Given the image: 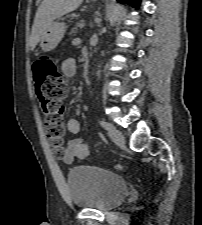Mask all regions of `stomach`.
<instances>
[{
    "mask_svg": "<svg viewBox=\"0 0 202 225\" xmlns=\"http://www.w3.org/2000/svg\"><path fill=\"white\" fill-rule=\"evenodd\" d=\"M66 31L63 22H53L42 34L40 47L44 52H49L57 47Z\"/></svg>",
    "mask_w": 202,
    "mask_h": 225,
    "instance_id": "1",
    "label": "stomach"
}]
</instances>
